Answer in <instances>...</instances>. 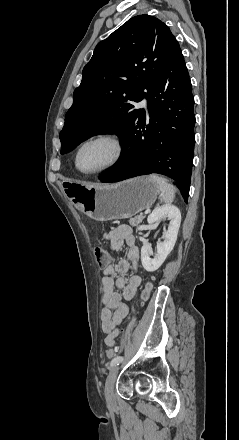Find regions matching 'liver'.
<instances>
[{
	"label": "liver",
	"instance_id": "obj_1",
	"mask_svg": "<svg viewBox=\"0 0 239 440\" xmlns=\"http://www.w3.org/2000/svg\"><path fill=\"white\" fill-rule=\"evenodd\" d=\"M83 184H85V182H83ZM89 188H92V186H89Z\"/></svg>",
	"mask_w": 239,
	"mask_h": 440
}]
</instances>
